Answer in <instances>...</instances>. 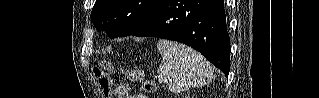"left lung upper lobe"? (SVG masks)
Returning <instances> with one entry per match:
<instances>
[{"label":"left lung upper lobe","mask_w":319,"mask_h":98,"mask_svg":"<svg viewBox=\"0 0 319 98\" xmlns=\"http://www.w3.org/2000/svg\"><path fill=\"white\" fill-rule=\"evenodd\" d=\"M160 0H96L91 20L110 38L132 35L149 19Z\"/></svg>","instance_id":"obj_1"}]
</instances>
